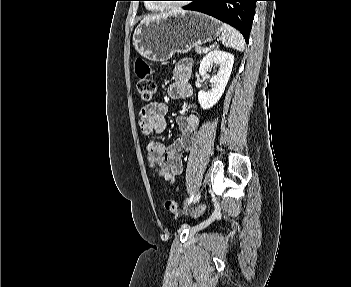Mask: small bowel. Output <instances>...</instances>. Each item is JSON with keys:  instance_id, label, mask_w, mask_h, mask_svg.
<instances>
[{"instance_id": "small-bowel-1", "label": "small bowel", "mask_w": 351, "mask_h": 287, "mask_svg": "<svg viewBox=\"0 0 351 287\" xmlns=\"http://www.w3.org/2000/svg\"><path fill=\"white\" fill-rule=\"evenodd\" d=\"M175 82L168 88V95L172 99L186 100L193 95V88L189 82L191 68L183 63L173 69ZM166 104L153 102L144 106L140 111L139 128L141 133L148 136L151 133H162L166 128ZM180 136L170 145L165 146L159 141H149L147 144L148 161L150 167L165 181L174 182L182 172L183 161L181 153L189 151L195 143V133L199 126L198 116L190 112L177 118Z\"/></svg>"}]
</instances>
